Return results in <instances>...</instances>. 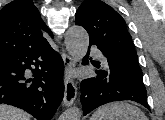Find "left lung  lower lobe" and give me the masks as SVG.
I'll return each mask as SVG.
<instances>
[{
	"label": "left lung lower lobe",
	"instance_id": "1",
	"mask_svg": "<svg viewBox=\"0 0 165 120\" xmlns=\"http://www.w3.org/2000/svg\"><path fill=\"white\" fill-rule=\"evenodd\" d=\"M91 45L95 44L90 42L89 50ZM97 47L103 53L104 61L101 64L93 62L97 68L95 75L81 82L83 115L103 104L121 100L138 102L150 110L143 79L124 70L110 53ZM83 64H88L87 56Z\"/></svg>",
	"mask_w": 165,
	"mask_h": 120
}]
</instances>
